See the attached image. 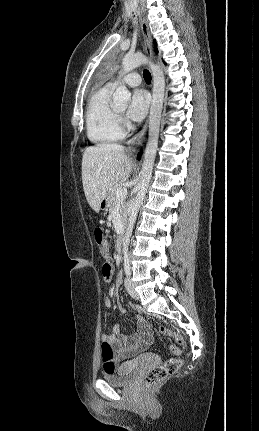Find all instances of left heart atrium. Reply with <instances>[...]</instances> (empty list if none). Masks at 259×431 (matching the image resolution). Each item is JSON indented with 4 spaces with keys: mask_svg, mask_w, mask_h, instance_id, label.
Here are the masks:
<instances>
[{
    "mask_svg": "<svg viewBox=\"0 0 259 431\" xmlns=\"http://www.w3.org/2000/svg\"><path fill=\"white\" fill-rule=\"evenodd\" d=\"M150 98L147 92L137 89L133 92L131 101L127 110V116L130 120L141 121L149 108Z\"/></svg>",
    "mask_w": 259,
    "mask_h": 431,
    "instance_id": "obj_1",
    "label": "left heart atrium"
}]
</instances>
